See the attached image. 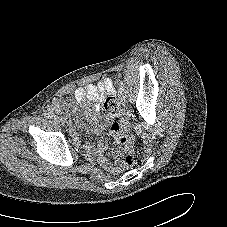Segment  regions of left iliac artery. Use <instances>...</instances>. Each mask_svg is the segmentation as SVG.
Masks as SVG:
<instances>
[{
	"label": "left iliac artery",
	"instance_id": "left-iliac-artery-1",
	"mask_svg": "<svg viewBox=\"0 0 227 227\" xmlns=\"http://www.w3.org/2000/svg\"><path fill=\"white\" fill-rule=\"evenodd\" d=\"M118 92L122 95V94L124 93L123 87H119V88H118Z\"/></svg>",
	"mask_w": 227,
	"mask_h": 227
}]
</instances>
